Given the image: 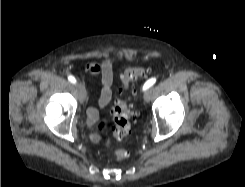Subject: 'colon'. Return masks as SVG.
I'll use <instances>...</instances> for the list:
<instances>
[{"mask_svg": "<svg viewBox=\"0 0 245 187\" xmlns=\"http://www.w3.org/2000/svg\"><path fill=\"white\" fill-rule=\"evenodd\" d=\"M148 69L144 67H128L122 73V87L120 95L111 106L112 119H101L95 125L97 133L112 132L118 140L125 139L131 132V123L136 117V113L131 109L127 98L125 97L132 82L143 78L147 75ZM114 156L117 159H123L127 152L122 149H116Z\"/></svg>", "mask_w": 245, "mask_h": 187, "instance_id": "1", "label": "colon"}]
</instances>
